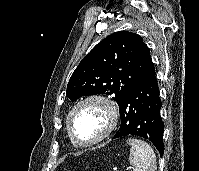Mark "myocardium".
Instances as JSON below:
<instances>
[{
  "mask_svg": "<svg viewBox=\"0 0 199 171\" xmlns=\"http://www.w3.org/2000/svg\"><path fill=\"white\" fill-rule=\"evenodd\" d=\"M86 104H96L100 106L106 113L107 116V126L105 130L95 139L87 142L80 141L74 134L73 129H72V117L75 114V112L82 106ZM119 120V109L116 105V103L103 95L99 94H91L87 95L81 99H79L75 104L72 106L70 111L67 114L66 118V127H67V132L68 135L71 139V141L80 146V147H88L95 145L101 141H103L105 138H107L115 129L117 123Z\"/></svg>",
  "mask_w": 199,
  "mask_h": 171,
  "instance_id": "obj_1",
  "label": "myocardium"
}]
</instances>
